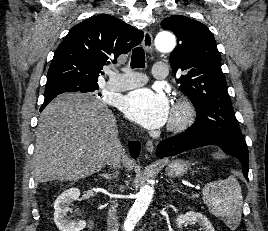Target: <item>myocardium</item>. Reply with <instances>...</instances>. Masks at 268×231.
I'll use <instances>...</instances> for the list:
<instances>
[{
    "label": "myocardium",
    "instance_id": "myocardium-1",
    "mask_svg": "<svg viewBox=\"0 0 268 231\" xmlns=\"http://www.w3.org/2000/svg\"><path fill=\"white\" fill-rule=\"evenodd\" d=\"M195 116L193 105L186 98L176 100L168 122L167 129L170 132H181L188 128Z\"/></svg>",
    "mask_w": 268,
    "mask_h": 231
}]
</instances>
